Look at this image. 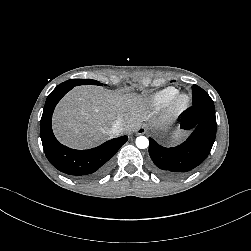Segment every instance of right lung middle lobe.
Listing matches in <instances>:
<instances>
[{
    "label": "right lung middle lobe",
    "mask_w": 251,
    "mask_h": 251,
    "mask_svg": "<svg viewBox=\"0 0 251 251\" xmlns=\"http://www.w3.org/2000/svg\"><path fill=\"white\" fill-rule=\"evenodd\" d=\"M63 85H71V86H78V85H102V83L96 81V80H91V79H71L68 80L64 83Z\"/></svg>",
    "instance_id": "1"
}]
</instances>
